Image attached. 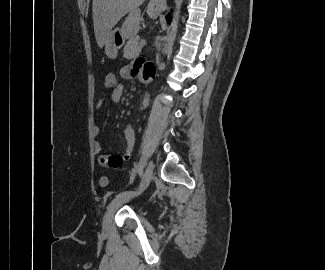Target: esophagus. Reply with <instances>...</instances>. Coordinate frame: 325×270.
Here are the masks:
<instances>
[{
	"label": "esophagus",
	"instance_id": "esophagus-1",
	"mask_svg": "<svg viewBox=\"0 0 325 270\" xmlns=\"http://www.w3.org/2000/svg\"><path fill=\"white\" fill-rule=\"evenodd\" d=\"M149 7L162 11L167 7V0H150Z\"/></svg>",
	"mask_w": 325,
	"mask_h": 270
}]
</instances>
